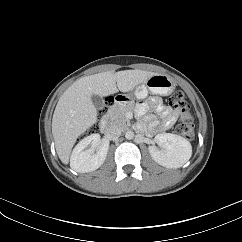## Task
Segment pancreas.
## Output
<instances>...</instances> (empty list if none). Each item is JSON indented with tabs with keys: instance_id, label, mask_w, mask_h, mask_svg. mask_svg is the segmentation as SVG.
<instances>
[{
	"instance_id": "cf45deb5",
	"label": "pancreas",
	"mask_w": 242,
	"mask_h": 242,
	"mask_svg": "<svg viewBox=\"0 0 242 242\" xmlns=\"http://www.w3.org/2000/svg\"><path fill=\"white\" fill-rule=\"evenodd\" d=\"M133 109H134L133 103L128 105H123V106L114 105L108 110L107 116L111 124H117L122 129H125L127 127L126 113L133 112Z\"/></svg>"
}]
</instances>
